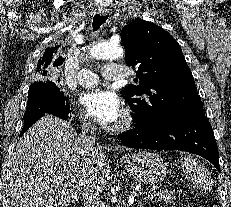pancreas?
Segmentation results:
<instances>
[{"mask_svg": "<svg viewBox=\"0 0 231 207\" xmlns=\"http://www.w3.org/2000/svg\"><path fill=\"white\" fill-rule=\"evenodd\" d=\"M158 201H164L166 203H171L175 200V193L173 191L162 190L157 193Z\"/></svg>", "mask_w": 231, "mask_h": 207, "instance_id": "obj_1", "label": "pancreas"}]
</instances>
